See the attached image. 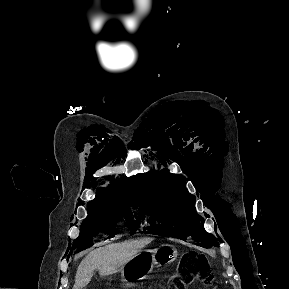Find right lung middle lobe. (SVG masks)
Wrapping results in <instances>:
<instances>
[{"label":"right lung middle lobe","instance_id":"1","mask_svg":"<svg viewBox=\"0 0 289 289\" xmlns=\"http://www.w3.org/2000/svg\"><path fill=\"white\" fill-rule=\"evenodd\" d=\"M136 207L134 203L129 202L88 205V216L81 225L79 237L73 241L71 252L77 253L91 247L95 239L102 234L112 236L120 217L126 220V224L132 229L131 232L137 231L140 218L133 211Z\"/></svg>","mask_w":289,"mask_h":289}]
</instances>
